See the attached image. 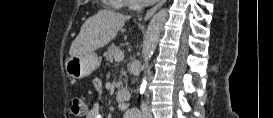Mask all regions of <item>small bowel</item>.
Returning a JSON list of instances; mask_svg holds the SVG:
<instances>
[{
  "label": "small bowel",
  "mask_w": 273,
  "mask_h": 118,
  "mask_svg": "<svg viewBox=\"0 0 273 118\" xmlns=\"http://www.w3.org/2000/svg\"><path fill=\"white\" fill-rule=\"evenodd\" d=\"M93 86H94L95 91L98 94H101L102 85H101L100 80H98V79L94 80ZM101 117H102V115H101L100 105L96 102L89 108L86 118H101Z\"/></svg>",
  "instance_id": "c3829d8e"
}]
</instances>
